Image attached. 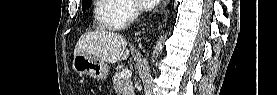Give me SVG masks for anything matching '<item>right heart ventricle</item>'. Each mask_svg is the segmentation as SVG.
Here are the masks:
<instances>
[{"instance_id": "e07e8e85", "label": "right heart ventricle", "mask_w": 277, "mask_h": 95, "mask_svg": "<svg viewBox=\"0 0 277 95\" xmlns=\"http://www.w3.org/2000/svg\"><path fill=\"white\" fill-rule=\"evenodd\" d=\"M124 6L122 0H96L95 1V26L97 29L110 31L124 24L121 10Z\"/></svg>"}]
</instances>
